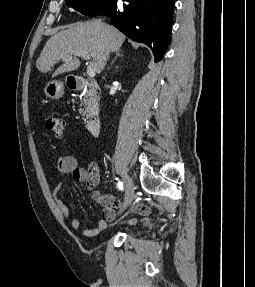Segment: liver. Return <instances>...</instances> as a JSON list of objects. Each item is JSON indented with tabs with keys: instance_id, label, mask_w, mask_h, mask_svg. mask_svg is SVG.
Segmentation results:
<instances>
[{
	"instance_id": "1",
	"label": "liver",
	"mask_w": 255,
	"mask_h": 287,
	"mask_svg": "<svg viewBox=\"0 0 255 287\" xmlns=\"http://www.w3.org/2000/svg\"><path fill=\"white\" fill-rule=\"evenodd\" d=\"M46 42L37 62L39 72H51L54 64L62 60L64 64L54 72V76L78 70L80 60L78 54L88 52L96 64V72L100 74L109 58L110 52L120 50L125 36L108 24L102 22H78L64 26ZM73 58V60H72Z\"/></svg>"
}]
</instances>
